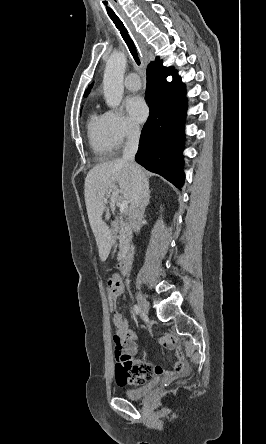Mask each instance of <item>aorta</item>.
<instances>
[{
	"mask_svg": "<svg viewBox=\"0 0 266 444\" xmlns=\"http://www.w3.org/2000/svg\"><path fill=\"white\" fill-rule=\"evenodd\" d=\"M125 67L126 57L121 52L113 53L106 62L103 89L106 104L111 108H116L121 103Z\"/></svg>",
	"mask_w": 266,
	"mask_h": 444,
	"instance_id": "1",
	"label": "aorta"
}]
</instances>
